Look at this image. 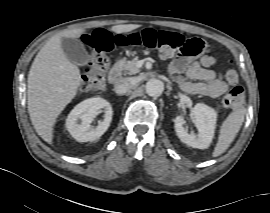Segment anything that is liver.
<instances>
[{
    "mask_svg": "<svg viewBox=\"0 0 270 213\" xmlns=\"http://www.w3.org/2000/svg\"><path fill=\"white\" fill-rule=\"evenodd\" d=\"M139 27L137 24L115 25L111 30L122 34ZM84 32V29H73L52 36L36 55L28 74L30 119L37 134L48 144H52L57 117L75 98L81 84L80 70L65 56L61 39L78 38Z\"/></svg>",
    "mask_w": 270,
    "mask_h": 213,
    "instance_id": "obj_1",
    "label": "liver"
}]
</instances>
